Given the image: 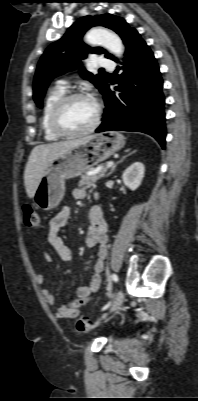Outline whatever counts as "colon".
<instances>
[{"label": "colon", "instance_id": "obj_1", "mask_svg": "<svg viewBox=\"0 0 198 401\" xmlns=\"http://www.w3.org/2000/svg\"><path fill=\"white\" fill-rule=\"evenodd\" d=\"M24 221L25 225L30 228H37L40 225V215L39 213L30 206L24 207ZM91 323V319L87 316H83L79 321V325H84Z\"/></svg>", "mask_w": 198, "mask_h": 401}]
</instances>
